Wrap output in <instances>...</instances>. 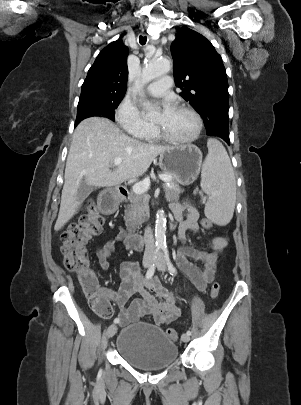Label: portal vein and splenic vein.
<instances>
[{
  "label": "portal vein and splenic vein",
  "instance_id": "obj_1",
  "mask_svg": "<svg viewBox=\"0 0 301 405\" xmlns=\"http://www.w3.org/2000/svg\"><path fill=\"white\" fill-rule=\"evenodd\" d=\"M121 163H122L121 158L116 157L114 159V162H113L114 166L120 165ZM159 178L164 182L171 181V176H169V175H159ZM149 186H150V179L145 178L143 181L134 184L132 187V190L137 194H142V193H145L149 189ZM203 201H205V198L203 199Z\"/></svg>",
  "mask_w": 301,
  "mask_h": 405
}]
</instances>
